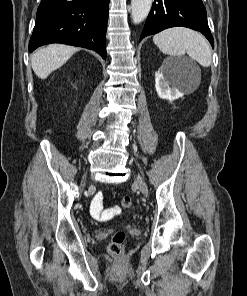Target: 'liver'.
Instances as JSON below:
<instances>
[{
  "instance_id": "1",
  "label": "liver",
  "mask_w": 247,
  "mask_h": 296,
  "mask_svg": "<svg viewBox=\"0 0 247 296\" xmlns=\"http://www.w3.org/2000/svg\"><path fill=\"white\" fill-rule=\"evenodd\" d=\"M78 50L77 47L63 44H50L40 48L32 56V69L39 78L46 79Z\"/></svg>"
}]
</instances>
